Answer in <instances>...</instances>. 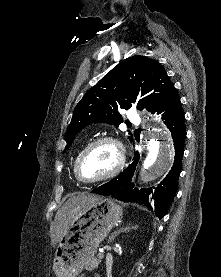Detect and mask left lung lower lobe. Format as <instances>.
I'll return each instance as SVG.
<instances>
[{"label": "left lung lower lobe", "mask_w": 221, "mask_h": 277, "mask_svg": "<svg viewBox=\"0 0 221 277\" xmlns=\"http://www.w3.org/2000/svg\"><path fill=\"white\" fill-rule=\"evenodd\" d=\"M155 112L162 114V120H164V123L171 131L174 141L175 160L169 174L157 187L140 190L134 188L131 180L139 159V154L136 152L134 161L122 174L100 185L92 192L111 196L121 201L143 203L148 208L154 210L156 216L161 219L167 213L177 191L181 161L184 153V140L186 137L184 115L175 88L161 102Z\"/></svg>", "instance_id": "1"}]
</instances>
